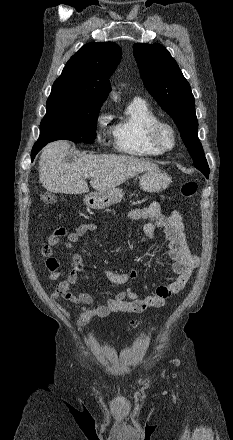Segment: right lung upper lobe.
Instances as JSON below:
<instances>
[{
  "label": "right lung upper lobe",
  "instance_id": "obj_1",
  "mask_svg": "<svg viewBox=\"0 0 233 440\" xmlns=\"http://www.w3.org/2000/svg\"><path fill=\"white\" fill-rule=\"evenodd\" d=\"M121 56L122 50L114 42L87 43L67 62L47 102L102 104L111 89L109 78Z\"/></svg>",
  "mask_w": 233,
  "mask_h": 440
}]
</instances>
